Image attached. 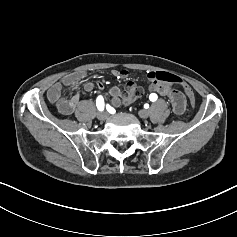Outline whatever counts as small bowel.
Segmentation results:
<instances>
[{"label":"small bowel","instance_id":"1","mask_svg":"<svg viewBox=\"0 0 237 237\" xmlns=\"http://www.w3.org/2000/svg\"><path fill=\"white\" fill-rule=\"evenodd\" d=\"M113 76L116 78H126L128 76L127 71L125 70H115L113 71ZM86 76L84 70H77L72 73L65 75L60 81L53 83L48 91L47 97L51 104L55 105L57 110L62 115H72L77 110H79L83 103L80 100V93L76 92L71 97L66 98L62 95L63 87L75 86ZM147 78L152 81L149 86L151 92H156L162 96H165L169 99L173 111L176 115H182L186 108V98L180 91L174 89L171 85L155 81L150 77V72L147 73ZM103 89L105 83L102 80H97L96 82L87 81L84 83L83 88L87 92H91L95 89ZM110 105L112 107H118L121 104V91L118 87H112L110 89Z\"/></svg>","mask_w":237,"mask_h":237}]
</instances>
